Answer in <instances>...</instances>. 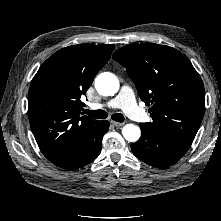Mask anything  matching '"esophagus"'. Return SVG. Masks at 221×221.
Instances as JSON below:
<instances>
[{"instance_id": "esophagus-1", "label": "esophagus", "mask_w": 221, "mask_h": 221, "mask_svg": "<svg viewBox=\"0 0 221 221\" xmlns=\"http://www.w3.org/2000/svg\"><path fill=\"white\" fill-rule=\"evenodd\" d=\"M111 123L116 127H121L125 124L124 122H116V121H111Z\"/></svg>"}]
</instances>
